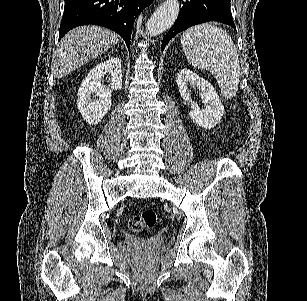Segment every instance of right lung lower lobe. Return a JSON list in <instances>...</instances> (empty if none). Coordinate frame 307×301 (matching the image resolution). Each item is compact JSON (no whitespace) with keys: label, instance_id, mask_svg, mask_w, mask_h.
<instances>
[{"label":"right lung lower lobe","instance_id":"1","mask_svg":"<svg viewBox=\"0 0 307 301\" xmlns=\"http://www.w3.org/2000/svg\"><path fill=\"white\" fill-rule=\"evenodd\" d=\"M153 0H65L59 40L71 29L87 24L109 28L130 47L135 18Z\"/></svg>","mask_w":307,"mask_h":301}]
</instances>
